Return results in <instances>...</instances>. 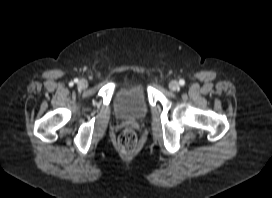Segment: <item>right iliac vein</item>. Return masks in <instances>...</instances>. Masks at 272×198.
<instances>
[{"instance_id": "1", "label": "right iliac vein", "mask_w": 272, "mask_h": 198, "mask_svg": "<svg viewBox=\"0 0 272 198\" xmlns=\"http://www.w3.org/2000/svg\"><path fill=\"white\" fill-rule=\"evenodd\" d=\"M87 85H88V83H87V81L86 80H84V79H82V80H80L79 82H78V87L79 88H86L87 87Z\"/></svg>"}]
</instances>
